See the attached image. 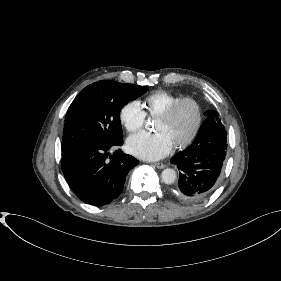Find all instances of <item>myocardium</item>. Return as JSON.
Wrapping results in <instances>:
<instances>
[{"label":"myocardium","mask_w":281,"mask_h":281,"mask_svg":"<svg viewBox=\"0 0 281 281\" xmlns=\"http://www.w3.org/2000/svg\"><path fill=\"white\" fill-rule=\"evenodd\" d=\"M185 103H190L194 106L195 112H196V120H195V125L193 127L192 132L190 135L182 140L181 142L173 145L175 149H184L187 146H189L197 137L201 126H202V121H203V109L200 104V102L194 98V97H181L171 105H169L167 108H165L162 112H160L156 118L162 119V120H167L169 119L173 113L183 104Z\"/></svg>","instance_id":"f54148a6"}]
</instances>
